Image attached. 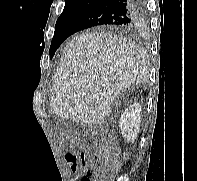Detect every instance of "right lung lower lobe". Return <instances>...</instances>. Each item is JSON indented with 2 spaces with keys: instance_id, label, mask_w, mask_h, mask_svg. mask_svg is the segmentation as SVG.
I'll use <instances>...</instances> for the list:
<instances>
[{
  "instance_id": "1",
  "label": "right lung lower lobe",
  "mask_w": 197,
  "mask_h": 181,
  "mask_svg": "<svg viewBox=\"0 0 197 181\" xmlns=\"http://www.w3.org/2000/svg\"><path fill=\"white\" fill-rule=\"evenodd\" d=\"M142 21L141 0H100L78 18L68 37L94 26L135 27Z\"/></svg>"
}]
</instances>
